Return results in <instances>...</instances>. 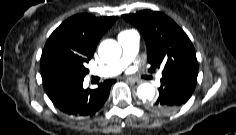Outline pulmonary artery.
<instances>
[{"mask_svg": "<svg viewBox=\"0 0 236 135\" xmlns=\"http://www.w3.org/2000/svg\"><path fill=\"white\" fill-rule=\"evenodd\" d=\"M118 41L123 50L122 57L106 66L91 69L90 73L92 75L102 77L116 76L131 62L139 49V35L134 31L120 33L118 35ZM161 77L162 75L159 74L157 79L160 80Z\"/></svg>", "mask_w": 236, "mask_h": 135, "instance_id": "pulmonary-artery-1", "label": "pulmonary artery"}]
</instances>
